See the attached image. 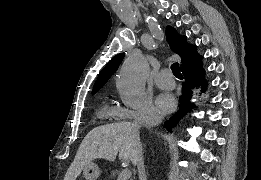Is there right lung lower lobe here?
<instances>
[{
    "label": "right lung lower lobe",
    "instance_id": "right-lung-lower-lobe-1",
    "mask_svg": "<svg viewBox=\"0 0 261 180\" xmlns=\"http://www.w3.org/2000/svg\"><path fill=\"white\" fill-rule=\"evenodd\" d=\"M185 77V82L182 84V95L180 97V110L165 123V127L169 129L176 126L178 121L189 112L193 106L190 102L193 94V89L196 86H201L202 90H206L207 82L204 80V70L202 62L196 63L182 70Z\"/></svg>",
    "mask_w": 261,
    "mask_h": 180
}]
</instances>
